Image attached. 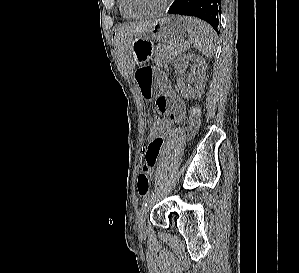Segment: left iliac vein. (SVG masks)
<instances>
[{
	"label": "left iliac vein",
	"mask_w": 299,
	"mask_h": 273,
	"mask_svg": "<svg viewBox=\"0 0 299 273\" xmlns=\"http://www.w3.org/2000/svg\"><path fill=\"white\" fill-rule=\"evenodd\" d=\"M153 201H150L147 206H143L136 216V228L140 235L145 234V219L151 209Z\"/></svg>",
	"instance_id": "4c4485c4"
}]
</instances>
